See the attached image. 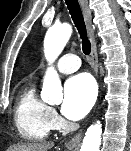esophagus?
Returning <instances> with one entry per match:
<instances>
[{"instance_id":"obj_1","label":"esophagus","mask_w":131,"mask_h":151,"mask_svg":"<svg viewBox=\"0 0 131 151\" xmlns=\"http://www.w3.org/2000/svg\"><path fill=\"white\" fill-rule=\"evenodd\" d=\"M83 15H84V20L88 32V36L91 42V65L94 70V74L97 77L98 76V56H97V46H96V40H95V35H94V27L92 24V15H91V10L88 5V0H79ZM82 139V132H78L68 143L67 147L68 148H74L77 145H79L80 141Z\"/></svg>"}]
</instances>
